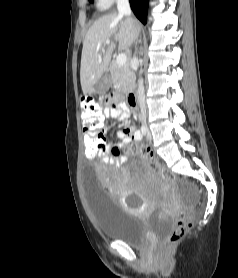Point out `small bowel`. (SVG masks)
Returning <instances> with one entry per match:
<instances>
[{
  "instance_id": "c3829d8e",
  "label": "small bowel",
  "mask_w": 238,
  "mask_h": 278,
  "mask_svg": "<svg viewBox=\"0 0 238 278\" xmlns=\"http://www.w3.org/2000/svg\"><path fill=\"white\" fill-rule=\"evenodd\" d=\"M130 116V111L127 105L123 102L117 101L116 98H112L110 104L102 111L103 117V138L105 145L103 146L102 153L98 158L104 164H113L114 161L110 158L109 153L113 147H117L119 150L124 146L130 144L132 141L140 142L142 140L141 132L134 126H126L124 129L116 133L118 142L110 144L105 141V122L109 119L126 121Z\"/></svg>"
}]
</instances>
